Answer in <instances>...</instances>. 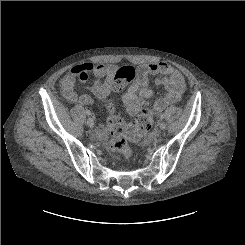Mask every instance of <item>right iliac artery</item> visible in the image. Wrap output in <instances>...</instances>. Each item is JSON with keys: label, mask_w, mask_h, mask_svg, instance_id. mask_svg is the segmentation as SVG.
<instances>
[{"label": "right iliac artery", "mask_w": 245, "mask_h": 245, "mask_svg": "<svg viewBox=\"0 0 245 245\" xmlns=\"http://www.w3.org/2000/svg\"><path fill=\"white\" fill-rule=\"evenodd\" d=\"M86 114H87L88 116H90V115H91V112H90L89 110H86Z\"/></svg>", "instance_id": "82829eb1"}]
</instances>
